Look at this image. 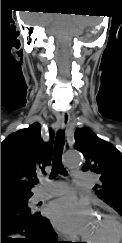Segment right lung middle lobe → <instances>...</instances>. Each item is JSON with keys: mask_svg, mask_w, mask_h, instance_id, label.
I'll list each match as a JSON object with an SVG mask.
<instances>
[{"mask_svg": "<svg viewBox=\"0 0 122 243\" xmlns=\"http://www.w3.org/2000/svg\"><path fill=\"white\" fill-rule=\"evenodd\" d=\"M29 198H30V196L29 197H21V198L8 199V200L1 201V203L9 202V203H15V204H27Z\"/></svg>", "mask_w": 122, "mask_h": 243, "instance_id": "right-lung-middle-lobe-1", "label": "right lung middle lobe"}]
</instances>
